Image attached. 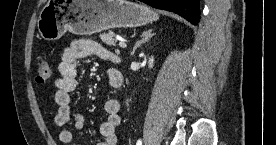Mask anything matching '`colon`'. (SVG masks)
<instances>
[{"label":"colon","mask_w":276,"mask_h":145,"mask_svg":"<svg viewBox=\"0 0 276 145\" xmlns=\"http://www.w3.org/2000/svg\"><path fill=\"white\" fill-rule=\"evenodd\" d=\"M51 78V67L50 64L43 60L39 59L36 64V81L38 83H46Z\"/></svg>","instance_id":"colon-1"}]
</instances>
